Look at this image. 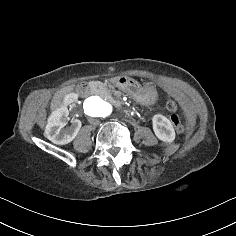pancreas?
<instances>
[{"label":"pancreas","instance_id":"1","mask_svg":"<svg viewBox=\"0 0 236 236\" xmlns=\"http://www.w3.org/2000/svg\"><path fill=\"white\" fill-rule=\"evenodd\" d=\"M94 83L97 85V89H96L97 95H100L101 97L107 98L110 100L113 99V96L107 84H104L101 81H94Z\"/></svg>","mask_w":236,"mask_h":236}]
</instances>
